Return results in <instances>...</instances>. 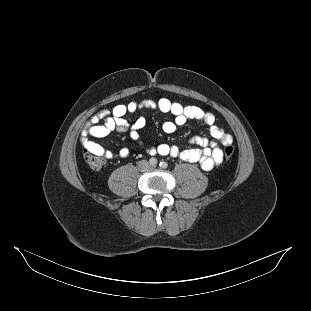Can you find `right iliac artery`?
<instances>
[{
	"label": "right iliac artery",
	"instance_id": "right-iliac-artery-1",
	"mask_svg": "<svg viewBox=\"0 0 311 311\" xmlns=\"http://www.w3.org/2000/svg\"><path fill=\"white\" fill-rule=\"evenodd\" d=\"M149 162H150V164H151L152 166H155V165L158 163V161H157L156 158H151V159L149 160Z\"/></svg>",
	"mask_w": 311,
	"mask_h": 311
}]
</instances>
